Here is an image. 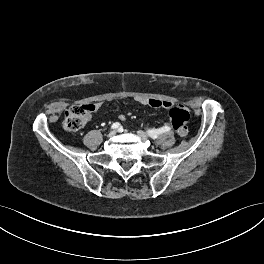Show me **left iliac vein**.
<instances>
[{
	"mask_svg": "<svg viewBox=\"0 0 264 264\" xmlns=\"http://www.w3.org/2000/svg\"><path fill=\"white\" fill-rule=\"evenodd\" d=\"M137 134L142 138H148V134L144 131H137Z\"/></svg>",
	"mask_w": 264,
	"mask_h": 264,
	"instance_id": "obj_1",
	"label": "left iliac vein"
}]
</instances>
